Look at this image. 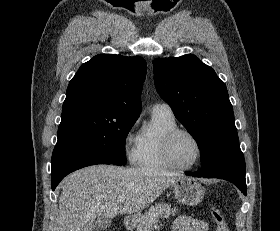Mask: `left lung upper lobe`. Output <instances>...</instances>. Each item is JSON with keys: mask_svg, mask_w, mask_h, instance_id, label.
Segmentation results:
<instances>
[{"mask_svg": "<svg viewBox=\"0 0 280 231\" xmlns=\"http://www.w3.org/2000/svg\"><path fill=\"white\" fill-rule=\"evenodd\" d=\"M153 64L157 92L197 142L202 167L240 149L226 85L211 67L191 54Z\"/></svg>", "mask_w": 280, "mask_h": 231, "instance_id": "left-lung-upper-lobe-1", "label": "left lung upper lobe"}]
</instances>
